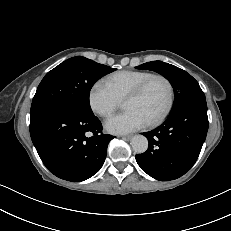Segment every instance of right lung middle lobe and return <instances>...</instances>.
I'll list each match as a JSON object with an SVG mask.
<instances>
[{
    "label": "right lung middle lobe",
    "instance_id": "dd1d6c3e",
    "mask_svg": "<svg viewBox=\"0 0 231 231\" xmlns=\"http://www.w3.org/2000/svg\"><path fill=\"white\" fill-rule=\"evenodd\" d=\"M114 70L82 56L64 61L48 72L39 84L31 105L30 122L61 105L93 113L90 90L98 79Z\"/></svg>",
    "mask_w": 231,
    "mask_h": 231
}]
</instances>
